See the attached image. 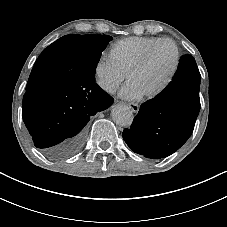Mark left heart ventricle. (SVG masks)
I'll return each instance as SVG.
<instances>
[{
    "mask_svg": "<svg viewBox=\"0 0 227 227\" xmlns=\"http://www.w3.org/2000/svg\"><path fill=\"white\" fill-rule=\"evenodd\" d=\"M174 60V49L169 43L158 44L151 52L146 65L135 73L129 82L145 96L158 88L166 79Z\"/></svg>",
    "mask_w": 227,
    "mask_h": 227,
    "instance_id": "1",
    "label": "left heart ventricle"
}]
</instances>
